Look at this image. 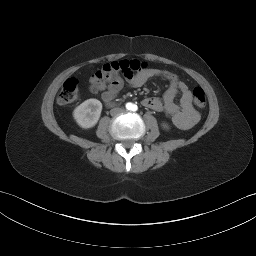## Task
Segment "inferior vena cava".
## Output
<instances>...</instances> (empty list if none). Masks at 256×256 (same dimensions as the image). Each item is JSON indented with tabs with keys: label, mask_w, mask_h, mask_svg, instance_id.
<instances>
[{
	"label": "inferior vena cava",
	"mask_w": 256,
	"mask_h": 256,
	"mask_svg": "<svg viewBox=\"0 0 256 256\" xmlns=\"http://www.w3.org/2000/svg\"><path fill=\"white\" fill-rule=\"evenodd\" d=\"M123 111L122 108H113L110 112H111V115H116L118 113H121Z\"/></svg>",
	"instance_id": "obj_1"
}]
</instances>
